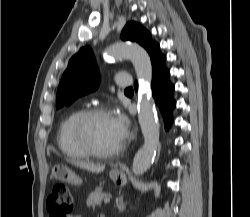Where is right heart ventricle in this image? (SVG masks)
<instances>
[{
	"label": "right heart ventricle",
	"mask_w": 250,
	"mask_h": 217,
	"mask_svg": "<svg viewBox=\"0 0 250 217\" xmlns=\"http://www.w3.org/2000/svg\"><path fill=\"white\" fill-rule=\"evenodd\" d=\"M83 112L81 108L71 111L60 123L57 133L59 149L67 157L72 159H85L90 156L79 145L74 133L75 123Z\"/></svg>",
	"instance_id": "right-heart-ventricle-1"
}]
</instances>
